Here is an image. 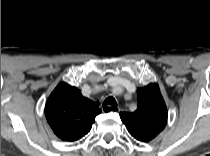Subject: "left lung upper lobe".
<instances>
[{
  "mask_svg": "<svg viewBox=\"0 0 210 156\" xmlns=\"http://www.w3.org/2000/svg\"><path fill=\"white\" fill-rule=\"evenodd\" d=\"M138 109L133 113L123 112L121 120L128 132L138 141L154 139L167 123V108L156 83L137 89Z\"/></svg>",
  "mask_w": 210,
  "mask_h": 156,
  "instance_id": "5c2ea615",
  "label": "left lung upper lobe"
}]
</instances>
